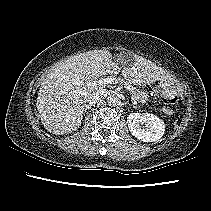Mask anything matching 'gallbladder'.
<instances>
[{"label":"gallbladder","instance_id":"1","mask_svg":"<svg viewBox=\"0 0 211 211\" xmlns=\"http://www.w3.org/2000/svg\"><path fill=\"white\" fill-rule=\"evenodd\" d=\"M127 55H128L127 53L122 54V56H127Z\"/></svg>","mask_w":211,"mask_h":211}]
</instances>
